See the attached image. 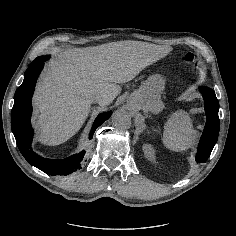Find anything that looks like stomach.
<instances>
[{"label":"stomach","instance_id":"1","mask_svg":"<svg viewBox=\"0 0 236 236\" xmlns=\"http://www.w3.org/2000/svg\"><path fill=\"white\" fill-rule=\"evenodd\" d=\"M165 89V79L161 75L150 76L129 98L131 103L137 104L144 112L158 113L163 109L161 93Z\"/></svg>","mask_w":236,"mask_h":236}]
</instances>
